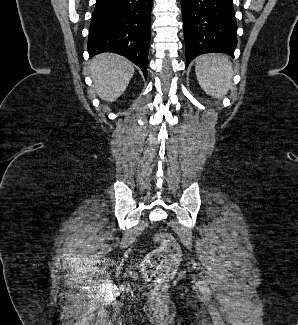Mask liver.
<instances>
[{
	"label": "liver",
	"mask_w": 298,
	"mask_h": 325,
	"mask_svg": "<svg viewBox=\"0 0 298 325\" xmlns=\"http://www.w3.org/2000/svg\"><path fill=\"white\" fill-rule=\"evenodd\" d=\"M90 74L98 96L102 100L113 102L126 90L134 74V66L130 60L120 54L103 52L92 58Z\"/></svg>",
	"instance_id": "6515ba94"
}]
</instances>
